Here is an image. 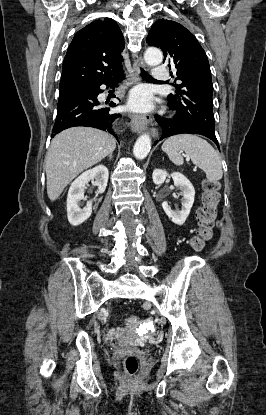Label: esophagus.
I'll use <instances>...</instances> for the list:
<instances>
[{
  "mask_svg": "<svg viewBox=\"0 0 266 415\" xmlns=\"http://www.w3.org/2000/svg\"><path fill=\"white\" fill-rule=\"evenodd\" d=\"M141 68H145V62L142 57L139 56L133 65L135 81L139 79ZM129 117L131 130L135 133H140L151 120L149 115L129 114Z\"/></svg>",
  "mask_w": 266,
  "mask_h": 415,
  "instance_id": "34e87169",
  "label": "esophagus"
}]
</instances>
